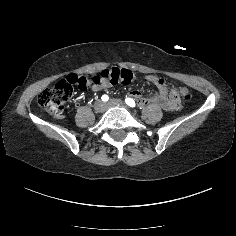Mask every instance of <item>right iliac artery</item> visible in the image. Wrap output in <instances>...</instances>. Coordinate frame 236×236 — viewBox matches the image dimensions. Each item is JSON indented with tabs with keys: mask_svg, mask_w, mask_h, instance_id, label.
Wrapping results in <instances>:
<instances>
[{
	"mask_svg": "<svg viewBox=\"0 0 236 236\" xmlns=\"http://www.w3.org/2000/svg\"><path fill=\"white\" fill-rule=\"evenodd\" d=\"M101 99H102V101L106 102V101L109 100V97H108L107 95H103V96L101 97Z\"/></svg>",
	"mask_w": 236,
	"mask_h": 236,
	"instance_id": "obj_1",
	"label": "right iliac artery"
}]
</instances>
